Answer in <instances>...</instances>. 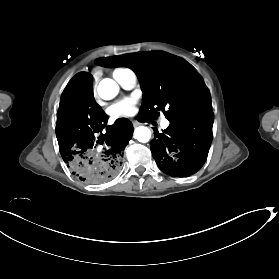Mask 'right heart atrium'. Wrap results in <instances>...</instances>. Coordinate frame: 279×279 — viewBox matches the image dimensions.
<instances>
[{"instance_id":"right-heart-atrium-1","label":"right heart atrium","mask_w":279,"mask_h":279,"mask_svg":"<svg viewBox=\"0 0 279 279\" xmlns=\"http://www.w3.org/2000/svg\"><path fill=\"white\" fill-rule=\"evenodd\" d=\"M94 95H96V91H94Z\"/></svg>"}]
</instances>
